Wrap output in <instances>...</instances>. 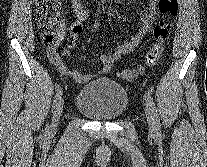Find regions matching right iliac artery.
Instances as JSON below:
<instances>
[{
	"mask_svg": "<svg viewBox=\"0 0 207 167\" xmlns=\"http://www.w3.org/2000/svg\"><path fill=\"white\" fill-rule=\"evenodd\" d=\"M62 94H63V90H62V88H59V89L57 90L56 95H55V98H54L53 109L56 107L58 101L61 99ZM46 130H47V132H48L49 127H46Z\"/></svg>",
	"mask_w": 207,
	"mask_h": 167,
	"instance_id": "1",
	"label": "right iliac artery"
}]
</instances>
